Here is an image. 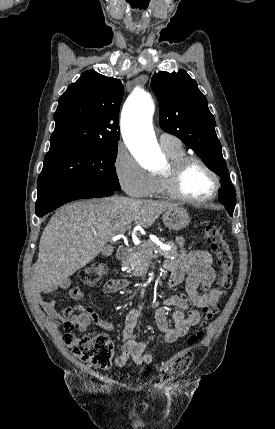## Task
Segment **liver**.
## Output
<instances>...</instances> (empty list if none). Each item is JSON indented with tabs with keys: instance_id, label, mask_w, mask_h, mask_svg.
I'll return each mask as SVG.
<instances>
[{
	"instance_id": "1",
	"label": "liver",
	"mask_w": 275,
	"mask_h": 429,
	"mask_svg": "<svg viewBox=\"0 0 275 429\" xmlns=\"http://www.w3.org/2000/svg\"><path fill=\"white\" fill-rule=\"evenodd\" d=\"M175 203L121 196L83 200L61 207L45 227L39 243L33 285L50 292L90 263L104 246L134 222L148 228Z\"/></svg>"
}]
</instances>
